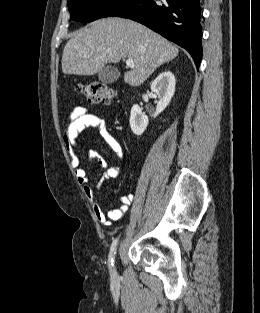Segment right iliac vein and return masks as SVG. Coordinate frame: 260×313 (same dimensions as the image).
Masks as SVG:
<instances>
[{"instance_id":"63e3f726","label":"right iliac vein","mask_w":260,"mask_h":313,"mask_svg":"<svg viewBox=\"0 0 260 313\" xmlns=\"http://www.w3.org/2000/svg\"><path fill=\"white\" fill-rule=\"evenodd\" d=\"M116 275H117V273H116V269H115V268H113V269H112V277L114 278V277H116Z\"/></svg>"}]
</instances>
